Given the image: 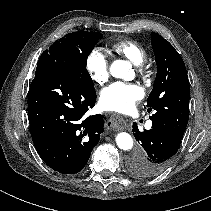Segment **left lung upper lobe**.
<instances>
[{"label": "left lung upper lobe", "instance_id": "obj_1", "mask_svg": "<svg viewBox=\"0 0 211 211\" xmlns=\"http://www.w3.org/2000/svg\"><path fill=\"white\" fill-rule=\"evenodd\" d=\"M151 42L157 75L147 99V111L154 112L149 118L183 136L189 119L190 97L184 61L175 48L159 34L152 32Z\"/></svg>", "mask_w": 211, "mask_h": 211}]
</instances>
